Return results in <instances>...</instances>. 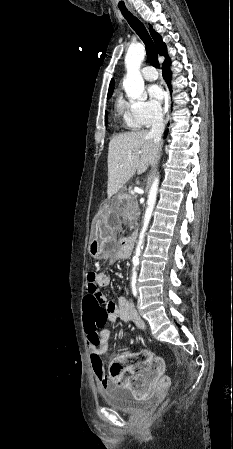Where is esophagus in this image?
Segmentation results:
<instances>
[{"label":"esophagus","mask_w":233,"mask_h":449,"mask_svg":"<svg viewBox=\"0 0 233 449\" xmlns=\"http://www.w3.org/2000/svg\"><path fill=\"white\" fill-rule=\"evenodd\" d=\"M128 9H129L134 15H136L134 9H133L131 6H128Z\"/></svg>","instance_id":"34e87169"}]
</instances>
